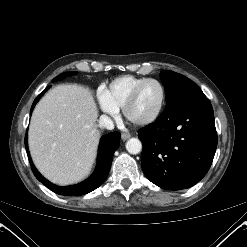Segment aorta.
<instances>
[{
	"label": "aorta",
	"instance_id": "obj_1",
	"mask_svg": "<svg viewBox=\"0 0 247 247\" xmlns=\"http://www.w3.org/2000/svg\"><path fill=\"white\" fill-rule=\"evenodd\" d=\"M126 150L130 154H138L142 150V143L138 138H131L126 142Z\"/></svg>",
	"mask_w": 247,
	"mask_h": 247
}]
</instances>
